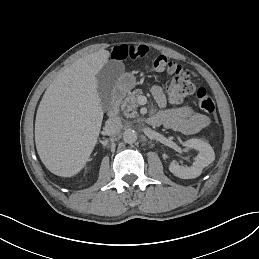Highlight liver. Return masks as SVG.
<instances>
[{
    "instance_id": "obj_1",
    "label": "liver",
    "mask_w": 259,
    "mask_h": 259,
    "mask_svg": "<svg viewBox=\"0 0 259 259\" xmlns=\"http://www.w3.org/2000/svg\"><path fill=\"white\" fill-rule=\"evenodd\" d=\"M109 56L104 49L85 54L59 73L43 95L35 143L41 161L55 175L77 174L97 143L103 110L96 75Z\"/></svg>"
}]
</instances>
